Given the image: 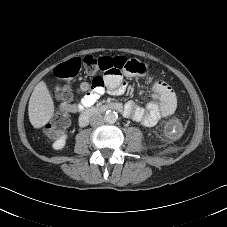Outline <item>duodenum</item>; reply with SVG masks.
Listing matches in <instances>:
<instances>
[{
  "label": "duodenum",
  "instance_id": "duodenum-1",
  "mask_svg": "<svg viewBox=\"0 0 227 227\" xmlns=\"http://www.w3.org/2000/svg\"><path fill=\"white\" fill-rule=\"evenodd\" d=\"M108 109L123 111V107L120 104H106V105H99L90 109L85 110L79 120V124L81 127H85L88 125L90 119L98 113L104 112Z\"/></svg>",
  "mask_w": 227,
  "mask_h": 227
}]
</instances>
